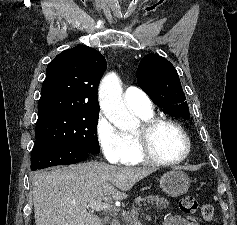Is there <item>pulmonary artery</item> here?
Returning a JSON list of instances; mask_svg holds the SVG:
<instances>
[{
	"instance_id": "1",
	"label": "pulmonary artery",
	"mask_w": 237,
	"mask_h": 225,
	"mask_svg": "<svg viewBox=\"0 0 237 225\" xmlns=\"http://www.w3.org/2000/svg\"><path fill=\"white\" fill-rule=\"evenodd\" d=\"M124 101L131 110L148 113L152 110L151 100L148 95L135 86H129L124 92Z\"/></svg>"
}]
</instances>
